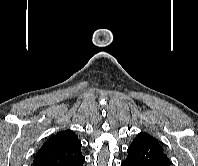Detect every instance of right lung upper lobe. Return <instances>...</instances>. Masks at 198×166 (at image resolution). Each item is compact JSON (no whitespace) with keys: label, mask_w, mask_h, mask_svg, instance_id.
<instances>
[{"label":"right lung upper lobe","mask_w":198,"mask_h":166,"mask_svg":"<svg viewBox=\"0 0 198 166\" xmlns=\"http://www.w3.org/2000/svg\"><path fill=\"white\" fill-rule=\"evenodd\" d=\"M81 142L71 130L48 139L35 156L33 166H67L83 159Z\"/></svg>","instance_id":"1"}]
</instances>
